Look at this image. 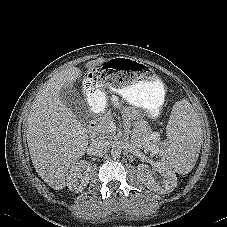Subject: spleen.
<instances>
[{
    "instance_id": "1",
    "label": "spleen",
    "mask_w": 227,
    "mask_h": 227,
    "mask_svg": "<svg viewBox=\"0 0 227 227\" xmlns=\"http://www.w3.org/2000/svg\"><path fill=\"white\" fill-rule=\"evenodd\" d=\"M168 125L169 146L162 153L167 164L179 174L189 173L198 158L202 129L186 101H179Z\"/></svg>"
}]
</instances>
